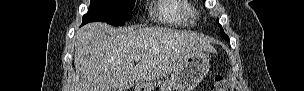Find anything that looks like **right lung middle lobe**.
Instances as JSON below:
<instances>
[{"label": "right lung middle lobe", "instance_id": "1", "mask_svg": "<svg viewBox=\"0 0 304 91\" xmlns=\"http://www.w3.org/2000/svg\"><path fill=\"white\" fill-rule=\"evenodd\" d=\"M135 0H91L90 8L83 16V23L101 21L119 26L130 20Z\"/></svg>", "mask_w": 304, "mask_h": 91}]
</instances>
